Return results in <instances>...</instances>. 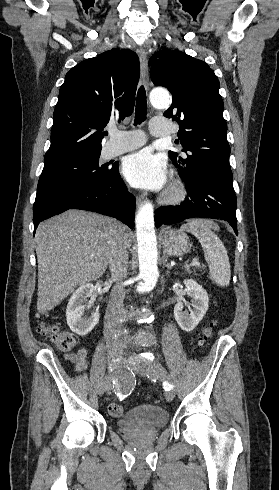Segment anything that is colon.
Listing matches in <instances>:
<instances>
[{
	"label": "colon",
	"mask_w": 279,
	"mask_h": 490,
	"mask_svg": "<svg viewBox=\"0 0 279 490\" xmlns=\"http://www.w3.org/2000/svg\"><path fill=\"white\" fill-rule=\"evenodd\" d=\"M214 326L215 323L211 322L199 335L197 344L200 349H204L208 345L213 334ZM38 331L40 335L53 342L61 351L68 352L70 351V347H77L76 337L72 333L61 331L55 324L45 322L40 325ZM124 412L125 407L122 404H111L109 406V413L113 417H120Z\"/></svg>",
	"instance_id": "obj_1"
}]
</instances>
